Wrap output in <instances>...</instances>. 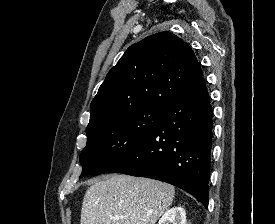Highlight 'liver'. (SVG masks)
Returning a JSON list of instances; mask_svg holds the SVG:
<instances>
[{
	"label": "liver",
	"mask_w": 275,
	"mask_h": 224,
	"mask_svg": "<svg viewBox=\"0 0 275 224\" xmlns=\"http://www.w3.org/2000/svg\"><path fill=\"white\" fill-rule=\"evenodd\" d=\"M174 196L175 188L170 184L112 175L88 187L81 224H155L171 206Z\"/></svg>",
	"instance_id": "obj_1"
}]
</instances>
